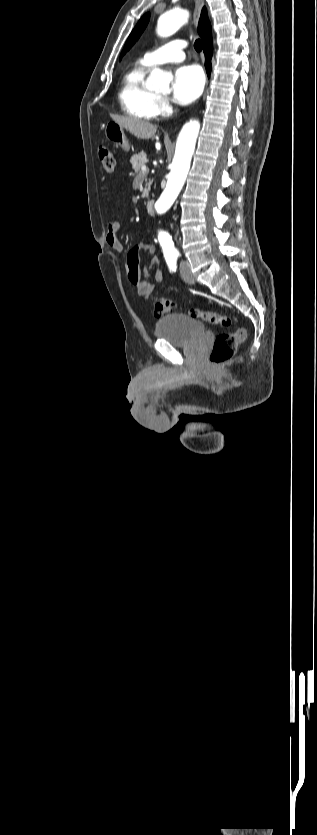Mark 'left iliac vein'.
<instances>
[{
    "label": "left iliac vein",
    "mask_w": 317,
    "mask_h": 835,
    "mask_svg": "<svg viewBox=\"0 0 317 835\" xmlns=\"http://www.w3.org/2000/svg\"><path fill=\"white\" fill-rule=\"evenodd\" d=\"M180 273H181V277L183 278V280L186 283H189V284H194L195 283V279L193 278V276L191 274L190 265H189L188 261H186V260L181 261Z\"/></svg>",
    "instance_id": "4c4485c4"
}]
</instances>
